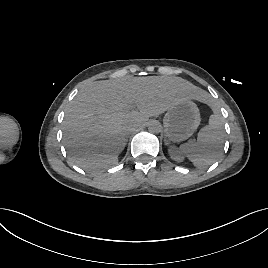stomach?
I'll use <instances>...</instances> for the list:
<instances>
[{"label": "stomach", "instance_id": "obj_1", "mask_svg": "<svg viewBox=\"0 0 268 268\" xmlns=\"http://www.w3.org/2000/svg\"><path fill=\"white\" fill-rule=\"evenodd\" d=\"M163 122L169 139L176 142L184 141L192 136L200 125V112L191 99H186L171 107Z\"/></svg>", "mask_w": 268, "mask_h": 268}]
</instances>
